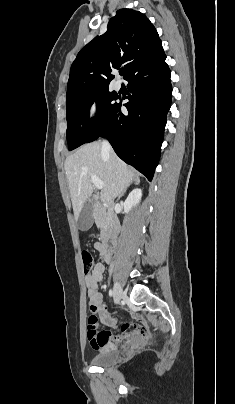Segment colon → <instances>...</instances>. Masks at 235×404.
Instances as JSON below:
<instances>
[{"label":"colon","instance_id":"colon-1","mask_svg":"<svg viewBox=\"0 0 235 404\" xmlns=\"http://www.w3.org/2000/svg\"><path fill=\"white\" fill-rule=\"evenodd\" d=\"M81 261L84 273L88 274L92 270L94 264L91 252L88 250H82ZM97 323H98L97 315L91 313V315L88 317V330L92 333H95L97 329Z\"/></svg>","mask_w":235,"mask_h":404}]
</instances>
